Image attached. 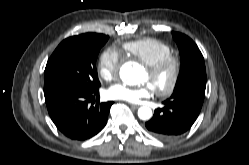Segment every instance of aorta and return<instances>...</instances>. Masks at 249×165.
Segmentation results:
<instances>
[{
  "label": "aorta",
  "instance_id": "aorta-1",
  "mask_svg": "<svg viewBox=\"0 0 249 165\" xmlns=\"http://www.w3.org/2000/svg\"><path fill=\"white\" fill-rule=\"evenodd\" d=\"M141 71L142 67L139 64L126 62L120 68V78L123 82L134 85L140 81L138 74ZM138 116L141 120H148L152 117V110L147 106L140 107Z\"/></svg>",
  "mask_w": 249,
  "mask_h": 165
}]
</instances>
